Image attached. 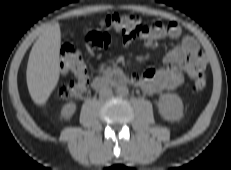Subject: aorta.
<instances>
[{
    "label": "aorta",
    "instance_id": "aorta-1",
    "mask_svg": "<svg viewBox=\"0 0 231 170\" xmlns=\"http://www.w3.org/2000/svg\"><path fill=\"white\" fill-rule=\"evenodd\" d=\"M129 93V90L127 86L125 85H120L116 88V94L119 96H127Z\"/></svg>",
    "mask_w": 231,
    "mask_h": 170
}]
</instances>
